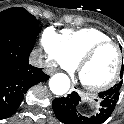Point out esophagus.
Instances as JSON below:
<instances>
[{"instance_id":"34e87169","label":"esophagus","mask_w":124,"mask_h":124,"mask_svg":"<svg viewBox=\"0 0 124 124\" xmlns=\"http://www.w3.org/2000/svg\"><path fill=\"white\" fill-rule=\"evenodd\" d=\"M49 72L53 73L54 72V69H49ZM70 91H76L77 93L80 94V90H78L76 87H72Z\"/></svg>"}]
</instances>
